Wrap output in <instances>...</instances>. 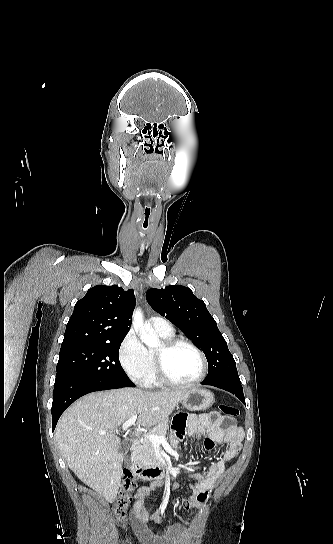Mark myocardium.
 <instances>
[{
  "label": "myocardium",
  "instance_id": "f54148a6",
  "mask_svg": "<svg viewBox=\"0 0 333 544\" xmlns=\"http://www.w3.org/2000/svg\"><path fill=\"white\" fill-rule=\"evenodd\" d=\"M161 346H162L161 351L154 352V365H155L157 378L162 384L175 387V388H188V387H192L201 383L206 378L209 371L208 359L205 353L197 345H195L194 343L186 339L171 338V339L164 340ZM179 346H187L191 348L192 350H194L199 355L202 362V370L200 375L194 380L189 382L182 383V382L173 380L169 376L165 366V358L167 354Z\"/></svg>",
  "mask_w": 333,
  "mask_h": 544
}]
</instances>
